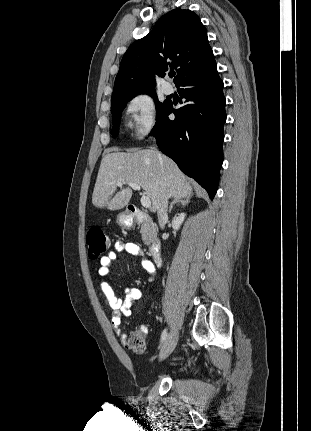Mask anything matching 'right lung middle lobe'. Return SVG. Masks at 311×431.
<instances>
[{"instance_id":"right-lung-middle-lobe-1","label":"right lung middle lobe","mask_w":311,"mask_h":431,"mask_svg":"<svg viewBox=\"0 0 311 431\" xmlns=\"http://www.w3.org/2000/svg\"><path fill=\"white\" fill-rule=\"evenodd\" d=\"M150 94L154 99L156 103V110H157V116H159L164 110L167 108V106L170 104L169 101L159 102L157 100V96L155 94V91H147L142 92ZM139 94V93H138ZM137 94L128 95V96H120L117 98H113L111 100V110L113 114V127H112V134L113 136H116L118 133V127L121 121L122 111L126 106L127 101L131 100L133 97H135Z\"/></svg>"}]
</instances>
